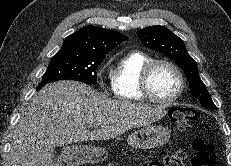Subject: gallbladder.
<instances>
[{
    "mask_svg": "<svg viewBox=\"0 0 231 166\" xmlns=\"http://www.w3.org/2000/svg\"><path fill=\"white\" fill-rule=\"evenodd\" d=\"M62 161L59 155H53L47 166H62Z\"/></svg>",
    "mask_w": 231,
    "mask_h": 166,
    "instance_id": "gallbladder-1",
    "label": "gallbladder"
}]
</instances>
